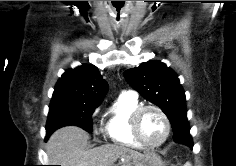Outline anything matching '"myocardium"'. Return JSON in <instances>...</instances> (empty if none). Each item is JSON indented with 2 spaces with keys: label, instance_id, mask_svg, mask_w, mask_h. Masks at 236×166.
<instances>
[{
  "label": "myocardium",
  "instance_id": "f54148a6",
  "mask_svg": "<svg viewBox=\"0 0 236 166\" xmlns=\"http://www.w3.org/2000/svg\"><path fill=\"white\" fill-rule=\"evenodd\" d=\"M147 110H154L156 111L163 119L164 124H165V133L163 138L154 144H150L147 143L143 137L141 136L140 133V120L142 115L147 111ZM130 128H131V132L133 137L135 138V140L143 147V148H147V149H154V148H158L161 145H163L167 139L169 138L170 132H171V124L169 121L168 116L166 115V113L163 111V109L157 105L154 104H149V105H143L140 106L139 108H137L130 119Z\"/></svg>",
  "mask_w": 236,
  "mask_h": 166
}]
</instances>
